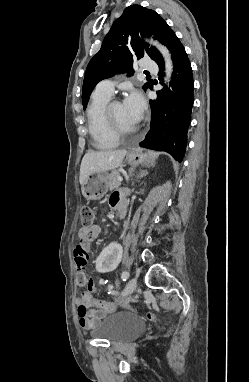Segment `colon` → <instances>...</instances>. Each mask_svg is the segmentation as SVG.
Segmentation results:
<instances>
[{
	"instance_id": "5ec220e1",
	"label": "colon",
	"mask_w": 249,
	"mask_h": 382,
	"mask_svg": "<svg viewBox=\"0 0 249 382\" xmlns=\"http://www.w3.org/2000/svg\"><path fill=\"white\" fill-rule=\"evenodd\" d=\"M94 216H95V213L91 207L82 206L80 208V221H81L83 228H90L91 227L93 220H94ZM73 253H74L75 262L77 264V267L75 268V271H76L75 278L80 282H85L87 280V277L84 275V269H85V267L88 263V259H89L88 250H87V248H75L74 247ZM88 280H89V290H91L92 292H95V286H94V283L92 282L94 280V277L89 276ZM101 302L104 304V306L108 310L112 309L111 305H109L103 301H101ZM146 318L149 321L159 320L158 317H156L154 314H152L150 312H148L146 314Z\"/></svg>"
}]
</instances>
